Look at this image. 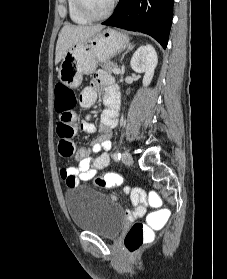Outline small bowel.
Wrapping results in <instances>:
<instances>
[{
    "mask_svg": "<svg viewBox=\"0 0 227 279\" xmlns=\"http://www.w3.org/2000/svg\"><path fill=\"white\" fill-rule=\"evenodd\" d=\"M102 90L104 92L106 110L101 115L99 138L90 144L89 149L83 147L74 149L70 139L62 138L60 141L59 152L61 153L62 148L66 144H71L73 147L72 154H74L75 159L79 163L76 167L68 166L60 170L62 179L69 187H71V178H74L77 184L80 181L90 180L110 162L108 151L112 146L111 137L113 129L118 124L119 115V94L113 78L106 73L95 74L91 84L85 87L80 93L79 101L82 108H91L95 105L98 94ZM71 124L73 128H77L78 126V122L75 118H72ZM79 125L81 130L85 133H94L97 130L96 125L90 120H82ZM90 153H93L95 156H91ZM132 203L135 207L132 213L133 215L141 216L146 212L147 201L145 197L139 198L134 193Z\"/></svg>",
    "mask_w": 227,
    "mask_h": 279,
    "instance_id": "small-bowel-1",
    "label": "small bowel"
}]
</instances>
